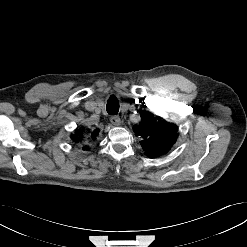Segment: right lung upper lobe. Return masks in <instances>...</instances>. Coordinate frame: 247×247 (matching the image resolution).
Masks as SVG:
<instances>
[{
    "mask_svg": "<svg viewBox=\"0 0 247 247\" xmlns=\"http://www.w3.org/2000/svg\"><path fill=\"white\" fill-rule=\"evenodd\" d=\"M97 134H98V130L92 132L91 135H92L93 138L95 139V136H96ZM81 137H82L81 133H79V132H77V131H76V134L72 135V139H73V141H75V142H79L80 139H81ZM82 149H83V150H88V146L85 145V146L82 147Z\"/></svg>",
    "mask_w": 247,
    "mask_h": 247,
    "instance_id": "1",
    "label": "right lung upper lobe"
}]
</instances>
